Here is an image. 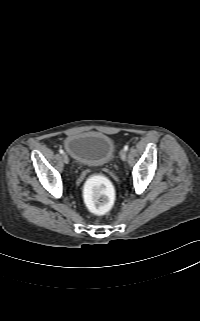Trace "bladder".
<instances>
[{
    "label": "bladder",
    "instance_id": "1",
    "mask_svg": "<svg viewBox=\"0 0 200 321\" xmlns=\"http://www.w3.org/2000/svg\"><path fill=\"white\" fill-rule=\"evenodd\" d=\"M64 148L76 162L88 166L108 163L115 151L113 140L97 131L78 132L67 136Z\"/></svg>",
    "mask_w": 200,
    "mask_h": 321
}]
</instances>
